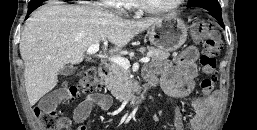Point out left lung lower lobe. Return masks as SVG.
Wrapping results in <instances>:
<instances>
[{
    "mask_svg": "<svg viewBox=\"0 0 257 130\" xmlns=\"http://www.w3.org/2000/svg\"><path fill=\"white\" fill-rule=\"evenodd\" d=\"M208 11L210 12V14L213 17L217 18L220 21V24L224 28V24H223V20H222V14H221V8H212V9H208Z\"/></svg>",
    "mask_w": 257,
    "mask_h": 130,
    "instance_id": "1",
    "label": "left lung lower lobe"
}]
</instances>
